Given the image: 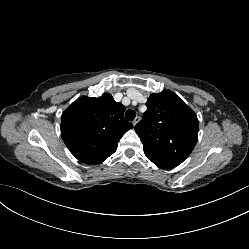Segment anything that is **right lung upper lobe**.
<instances>
[{"label": "right lung upper lobe", "instance_id": "cb5924a9", "mask_svg": "<svg viewBox=\"0 0 249 249\" xmlns=\"http://www.w3.org/2000/svg\"><path fill=\"white\" fill-rule=\"evenodd\" d=\"M125 109L108 93L98 98H78L62 113L64 143L83 163L103 162L116 151L123 134L133 128L124 119Z\"/></svg>", "mask_w": 249, "mask_h": 249}]
</instances>
